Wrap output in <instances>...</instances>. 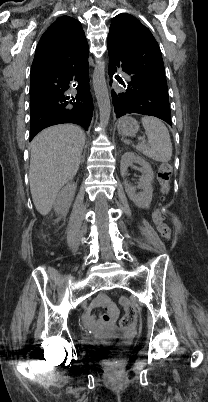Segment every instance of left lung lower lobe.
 <instances>
[{
  "label": "left lung lower lobe",
  "instance_id": "obj_1",
  "mask_svg": "<svg viewBox=\"0 0 208 402\" xmlns=\"http://www.w3.org/2000/svg\"><path fill=\"white\" fill-rule=\"evenodd\" d=\"M107 48L109 53V75L112 77L118 68L129 75V80L117 92L112 90V102L116 117L125 114L138 113L155 116L172 125L168 95L160 92L156 87L139 81L131 73V52L119 40L108 36ZM111 84V83H110Z\"/></svg>",
  "mask_w": 208,
  "mask_h": 402
}]
</instances>
